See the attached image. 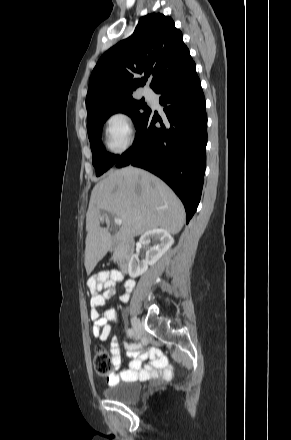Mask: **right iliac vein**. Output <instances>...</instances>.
Returning a JSON list of instances; mask_svg holds the SVG:
<instances>
[{
    "label": "right iliac vein",
    "instance_id": "obj_1",
    "mask_svg": "<svg viewBox=\"0 0 291 440\" xmlns=\"http://www.w3.org/2000/svg\"><path fill=\"white\" fill-rule=\"evenodd\" d=\"M131 323L133 326L135 337L137 339H141L142 335H143L142 334L143 327H142L140 320L137 317H133L131 320Z\"/></svg>",
    "mask_w": 291,
    "mask_h": 440
}]
</instances>
